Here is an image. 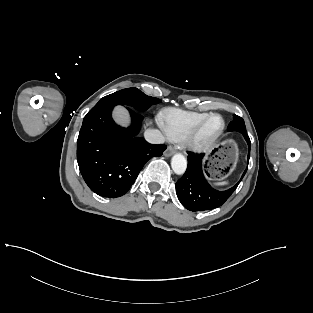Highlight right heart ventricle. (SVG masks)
<instances>
[{
    "mask_svg": "<svg viewBox=\"0 0 313 313\" xmlns=\"http://www.w3.org/2000/svg\"><path fill=\"white\" fill-rule=\"evenodd\" d=\"M207 115L209 114L167 109L161 113L160 122L170 140L181 141Z\"/></svg>",
    "mask_w": 313,
    "mask_h": 313,
    "instance_id": "right-heart-ventricle-1",
    "label": "right heart ventricle"
}]
</instances>
